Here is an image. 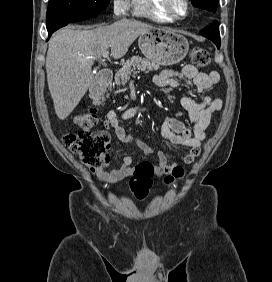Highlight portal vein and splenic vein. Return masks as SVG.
<instances>
[{
	"instance_id": "1",
	"label": "portal vein and splenic vein",
	"mask_w": 272,
	"mask_h": 282,
	"mask_svg": "<svg viewBox=\"0 0 272 282\" xmlns=\"http://www.w3.org/2000/svg\"><path fill=\"white\" fill-rule=\"evenodd\" d=\"M108 56H109V52H108V51H105V52L102 54V57H103L104 59L108 58Z\"/></svg>"
}]
</instances>
